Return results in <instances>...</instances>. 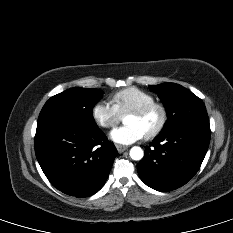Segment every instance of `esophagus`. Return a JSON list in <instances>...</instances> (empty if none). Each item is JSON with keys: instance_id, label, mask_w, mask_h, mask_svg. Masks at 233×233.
Returning a JSON list of instances; mask_svg holds the SVG:
<instances>
[{"instance_id": "34e87169", "label": "esophagus", "mask_w": 233, "mask_h": 233, "mask_svg": "<svg viewBox=\"0 0 233 233\" xmlns=\"http://www.w3.org/2000/svg\"><path fill=\"white\" fill-rule=\"evenodd\" d=\"M116 148H117V151L119 153H122V152H124V151H126L128 149L127 146H123V145H119V144L116 145Z\"/></svg>"}]
</instances>
